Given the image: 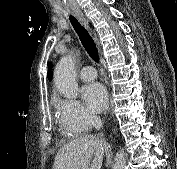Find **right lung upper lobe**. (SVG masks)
Here are the masks:
<instances>
[{
  "label": "right lung upper lobe",
  "instance_id": "1",
  "mask_svg": "<svg viewBox=\"0 0 177 169\" xmlns=\"http://www.w3.org/2000/svg\"><path fill=\"white\" fill-rule=\"evenodd\" d=\"M47 77L49 78V80L51 79V72L48 71Z\"/></svg>",
  "mask_w": 177,
  "mask_h": 169
}]
</instances>
